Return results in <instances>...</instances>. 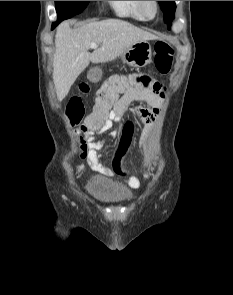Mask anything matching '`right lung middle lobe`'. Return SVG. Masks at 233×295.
I'll return each mask as SVG.
<instances>
[{
  "instance_id": "right-lung-middle-lobe-1",
  "label": "right lung middle lobe",
  "mask_w": 233,
  "mask_h": 295,
  "mask_svg": "<svg viewBox=\"0 0 233 295\" xmlns=\"http://www.w3.org/2000/svg\"><path fill=\"white\" fill-rule=\"evenodd\" d=\"M89 1H55L58 21L71 18L81 13Z\"/></svg>"
}]
</instances>
